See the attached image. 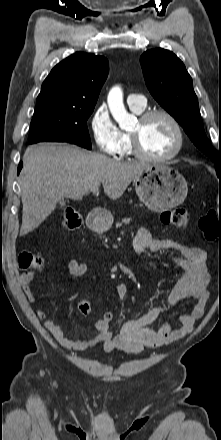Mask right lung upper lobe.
Returning <instances> with one entry per match:
<instances>
[{
	"label": "right lung upper lobe",
	"mask_w": 221,
	"mask_h": 440,
	"mask_svg": "<svg viewBox=\"0 0 221 440\" xmlns=\"http://www.w3.org/2000/svg\"><path fill=\"white\" fill-rule=\"evenodd\" d=\"M108 71L105 57L77 52L52 69L42 84L37 104L52 101L94 107Z\"/></svg>",
	"instance_id": "cb5924a9"
}]
</instances>
